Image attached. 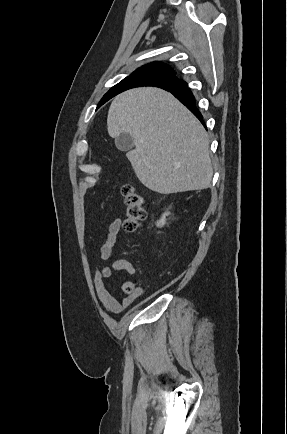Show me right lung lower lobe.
<instances>
[{"mask_svg": "<svg viewBox=\"0 0 287 434\" xmlns=\"http://www.w3.org/2000/svg\"><path fill=\"white\" fill-rule=\"evenodd\" d=\"M169 92H171L180 102H182L204 125L203 116L198 110L195 102V98L187 87V83L183 80H179L168 84L166 86L160 87Z\"/></svg>", "mask_w": 287, "mask_h": 434, "instance_id": "98d812e1", "label": "right lung lower lobe"}]
</instances>
